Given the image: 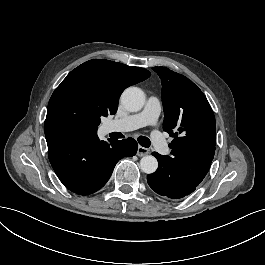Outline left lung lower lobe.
<instances>
[{"label":"left lung lower lobe","instance_id":"1","mask_svg":"<svg viewBox=\"0 0 265 265\" xmlns=\"http://www.w3.org/2000/svg\"><path fill=\"white\" fill-rule=\"evenodd\" d=\"M159 167L153 174L147 176L149 186L161 196L180 199L191 194L199 185L179 169L167 163L163 156L153 152Z\"/></svg>","mask_w":265,"mask_h":265}]
</instances>
